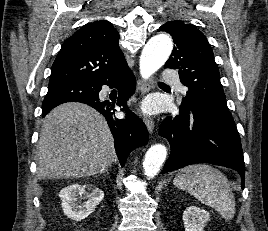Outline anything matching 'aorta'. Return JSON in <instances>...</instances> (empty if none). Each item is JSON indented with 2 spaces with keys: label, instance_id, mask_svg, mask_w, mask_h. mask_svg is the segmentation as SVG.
<instances>
[{
  "label": "aorta",
  "instance_id": "1",
  "mask_svg": "<svg viewBox=\"0 0 268 231\" xmlns=\"http://www.w3.org/2000/svg\"><path fill=\"white\" fill-rule=\"evenodd\" d=\"M173 49V42L168 35L159 34L152 37L145 45L140 56V74L148 79L169 58ZM167 156V148L162 144L151 146L143 161L144 173L147 178H154L160 171Z\"/></svg>",
  "mask_w": 268,
  "mask_h": 231
}]
</instances>
